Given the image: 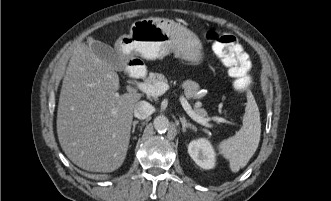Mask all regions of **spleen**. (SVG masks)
<instances>
[{
	"label": "spleen",
	"instance_id": "spleen-1",
	"mask_svg": "<svg viewBox=\"0 0 331 201\" xmlns=\"http://www.w3.org/2000/svg\"><path fill=\"white\" fill-rule=\"evenodd\" d=\"M260 135V113L255 99L250 95L242 128L234 136L223 140L218 145L220 154L229 160L232 172H238L240 168L247 165L258 148Z\"/></svg>",
	"mask_w": 331,
	"mask_h": 201
}]
</instances>
